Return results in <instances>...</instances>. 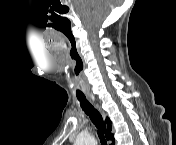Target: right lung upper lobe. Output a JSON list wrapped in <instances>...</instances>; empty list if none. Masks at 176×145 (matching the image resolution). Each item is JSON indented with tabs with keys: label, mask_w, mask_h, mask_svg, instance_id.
<instances>
[{
	"label": "right lung upper lobe",
	"mask_w": 176,
	"mask_h": 145,
	"mask_svg": "<svg viewBox=\"0 0 176 145\" xmlns=\"http://www.w3.org/2000/svg\"><path fill=\"white\" fill-rule=\"evenodd\" d=\"M107 124L109 126L108 131L106 132V138L108 140H112L114 142V136L111 134V121L107 118Z\"/></svg>",
	"instance_id": "cb5924a9"
}]
</instances>
